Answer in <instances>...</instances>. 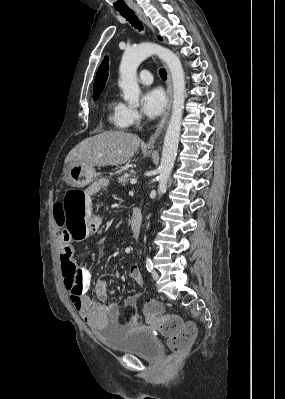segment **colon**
Returning <instances> with one entry per match:
<instances>
[{
    "instance_id": "obj_1",
    "label": "colon",
    "mask_w": 285,
    "mask_h": 399,
    "mask_svg": "<svg viewBox=\"0 0 285 399\" xmlns=\"http://www.w3.org/2000/svg\"><path fill=\"white\" fill-rule=\"evenodd\" d=\"M60 206L63 211L62 224L74 242H81L92 235L91 222L87 213L86 201L74 191L65 193ZM67 249V254L61 257V269L67 292L73 302L79 304L83 291V282L77 277V262ZM145 315L161 319L160 332L167 339L171 350L177 354L187 351L197 336L196 326L184 323L177 316H163V308L157 299H148L143 307ZM174 359H167L172 363Z\"/></svg>"
}]
</instances>
